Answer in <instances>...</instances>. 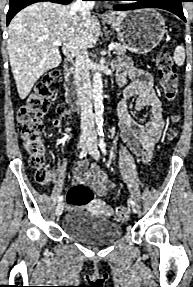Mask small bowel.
<instances>
[{
	"instance_id": "obj_1",
	"label": "small bowel",
	"mask_w": 193,
	"mask_h": 287,
	"mask_svg": "<svg viewBox=\"0 0 193 287\" xmlns=\"http://www.w3.org/2000/svg\"><path fill=\"white\" fill-rule=\"evenodd\" d=\"M121 68L127 70L126 73L131 80L117 105L121 136L126 146L146 163L151 158L164 126L163 105L153 88V79L149 73L132 67L127 61L123 62ZM132 97L135 98V111L149 114L146 122L138 121L130 113L128 99ZM66 116L71 119L69 113ZM72 176L75 184L88 185L98 196H104L114 186L100 164L90 165L87 160L78 161Z\"/></svg>"
}]
</instances>
